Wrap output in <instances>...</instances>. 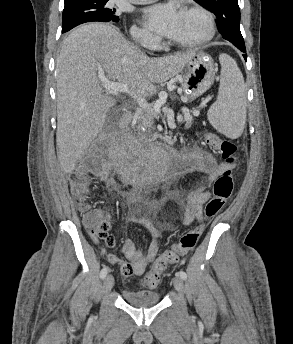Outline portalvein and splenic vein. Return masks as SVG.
<instances>
[{"label": "portal vein and splenic vein", "mask_w": 293, "mask_h": 344, "mask_svg": "<svg viewBox=\"0 0 293 344\" xmlns=\"http://www.w3.org/2000/svg\"><path fill=\"white\" fill-rule=\"evenodd\" d=\"M101 74L102 73H100L99 76ZM102 86L109 93H121V92H123V93H130L128 87L125 84L112 82V81H109L107 79H103L102 80ZM133 98L136 99V101L139 104L141 109H145V110H147L149 112H152L153 114H160V109L159 108L151 109L150 105L148 104V102L144 98L136 97V96H133ZM194 115H197V113H194ZM178 120L180 121L181 119L179 118Z\"/></svg>", "instance_id": "1"}]
</instances>
